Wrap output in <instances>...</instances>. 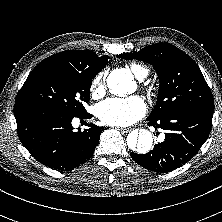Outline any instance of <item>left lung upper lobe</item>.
<instances>
[{
    "label": "left lung upper lobe",
    "instance_id": "5c2ea615",
    "mask_svg": "<svg viewBox=\"0 0 222 222\" xmlns=\"http://www.w3.org/2000/svg\"><path fill=\"white\" fill-rule=\"evenodd\" d=\"M121 59H138L153 65L159 77L156 105L148 117L158 120L187 107L214 109L211 90L195 61L170 43L146 46L135 53L117 55Z\"/></svg>",
    "mask_w": 222,
    "mask_h": 222
}]
</instances>
